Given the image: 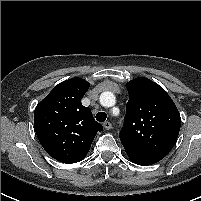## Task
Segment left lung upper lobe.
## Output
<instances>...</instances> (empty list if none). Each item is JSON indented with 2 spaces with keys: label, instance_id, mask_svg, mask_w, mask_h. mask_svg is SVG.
I'll return each mask as SVG.
<instances>
[{
  "label": "left lung upper lobe",
  "instance_id": "left-lung-upper-lobe-1",
  "mask_svg": "<svg viewBox=\"0 0 201 201\" xmlns=\"http://www.w3.org/2000/svg\"><path fill=\"white\" fill-rule=\"evenodd\" d=\"M130 95L120 139L129 159L151 165L173 148L181 126L178 109L167 92L153 81L138 77L127 84Z\"/></svg>",
  "mask_w": 201,
  "mask_h": 201
}]
</instances>
